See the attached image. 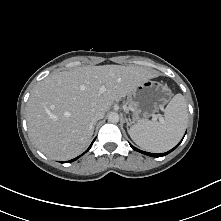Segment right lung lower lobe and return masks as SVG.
I'll use <instances>...</instances> for the list:
<instances>
[{
	"label": "right lung lower lobe",
	"instance_id": "98d812e1",
	"mask_svg": "<svg viewBox=\"0 0 221 221\" xmlns=\"http://www.w3.org/2000/svg\"><path fill=\"white\" fill-rule=\"evenodd\" d=\"M94 142V141H93ZM93 142H92V144H93ZM92 144L89 146V148L87 149V151L91 148V146H92ZM86 151V152H87ZM83 155V154H82ZM81 156V155H80ZM80 156H78V157H76V158H74V159H72V160H70V161H68V162H73V161H75V160H77ZM63 163V162H62Z\"/></svg>",
	"mask_w": 221,
	"mask_h": 221
}]
</instances>
